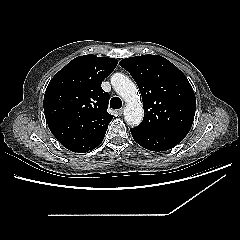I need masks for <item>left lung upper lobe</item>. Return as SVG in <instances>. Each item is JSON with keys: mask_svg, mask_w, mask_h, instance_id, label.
<instances>
[{"mask_svg": "<svg viewBox=\"0 0 240 240\" xmlns=\"http://www.w3.org/2000/svg\"><path fill=\"white\" fill-rule=\"evenodd\" d=\"M119 64L131 74L142 95L144 118L137 127L190 131L196 98L186 76L174 64L158 55L125 58Z\"/></svg>", "mask_w": 240, "mask_h": 240, "instance_id": "1", "label": "left lung upper lobe"}]
</instances>
